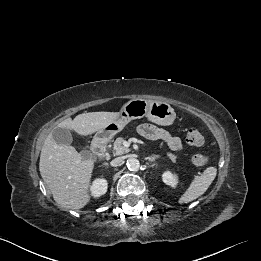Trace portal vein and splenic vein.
<instances>
[{
    "instance_id": "18ae733b",
    "label": "portal vein and splenic vein",
    "mask_w": 261,
    "mask_h": 261,
    "mask_svg": "<svg viewBox=\"0 0 261 261\" xmlns=\"http://www.w3.org/2000/svg\"><path fill=\"white\" fill-rule=\"evenodd\" d=\"M131 142L141 143L142 141L137 140L136 138H131V139H129L128 141L124 142L123 146H124L125 148H128ZM198 173H199V172H198Z\"/></svg>"
}]
</instances>
